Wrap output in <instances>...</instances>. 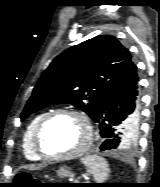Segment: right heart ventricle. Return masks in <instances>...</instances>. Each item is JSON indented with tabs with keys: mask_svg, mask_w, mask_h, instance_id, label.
<instances>
[{
	"mask_svg": "<svg viewBox=\"0 0 160 187\" xmlns=\"http://www.w3.org/2000/svg\"><path fill=\"white\" fill-rule=\"evenodd\" d=\"M47 114L41 112L35 115L26 126L22 136V152L26 159L31 161H39L42 157L34 148V132L40 120Z\"/></svg>",
	"mask_w": 160,
	"mask_h": 187,
	"instance_id": "right-heart-ventricle-1",
	"label": "right heart ventricle"
}]
</instances>
